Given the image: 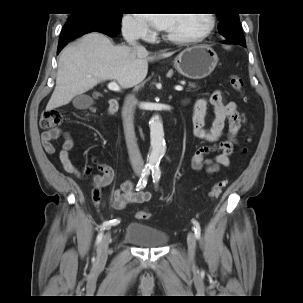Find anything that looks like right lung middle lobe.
Returning <instances> with one entry per match:
<instances>
[{
	"label": "right lung middle lobe",
	"mask_w": 303,
	"mask_h": 303,
	"mask_svg": "<svg viewBox=\"0 0 303 303\" xmlns=\"http://www.w3.org/2000/svg\"><path fill=\"white\" fill-rule=\"evenodd\" d=\"M78 17H92V18H99L109 21H117L121 22L122 14L120 13H104V12H82L77 14H71L69 20L78 18Z\"/></svg>",
	"instance_id": "right-lung-middle-lobe-1"
}]
</instances>
